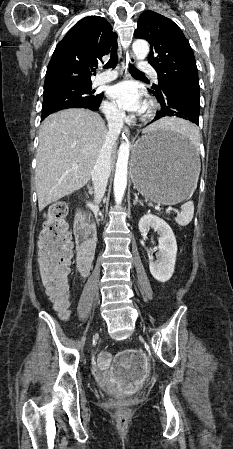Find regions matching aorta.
Returning a JSON list of instances; mask_svg holds the SVG:
<instances>
[{
  "label": "aorta",
  "mask_w": 233,
  "mask_h": 449,
  "mask_svg": "<svg viewBox=\"0 0 233 449\" xmlns=\"http://www.w3.org/2000/svg\"><path fill=\"white\" fill-rule=\"evenodd\" d=\"M132 49L136 58L139 60L145 59L149 53L148 43L143 40L134 41ZM129 153H130L129 141L123 142L119 147L114 177V197L115 202L117 204H120L122 202L124 192L127 186V167H128Z\"/></svg>",
  "instance_id": "aorta-1"
}]
</instances>
